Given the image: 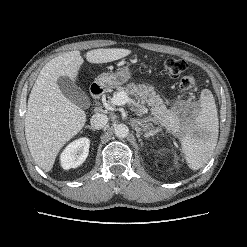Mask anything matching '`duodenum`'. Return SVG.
<instances>
[{
    "instance_id": "410a0bca",
    "label": "duodenum",
    "mask_w": 247,
    "mask_h": 247,
    "mask_svg": "<svg viewBox=\"0 0 247 247\" xmlns=\"http://www.w3.org/2000/svg\"><path fill=\"white\" fill-rule=\"evenodd\" d=\"M90 91H91V96H92L93 100L97 101L103 95L104 87L100 84H93L91 86Z\"/></svg>"
}]
</instances>
